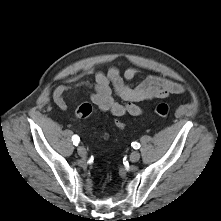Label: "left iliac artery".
I'll return each instance as SVG.
<instances>
[{
    "mask_svg": "<svg viewBox=\"0 0 221 221\" xmlns=\"http://www.w3.org/2000/svg\"><path fill=\"white\" fill-rule=\"evenodd\" d=\"M131 145L133 146L134 149H139L140 148V144L137 143V142H133Z\"/></svg>",
    "mask_w": 221,
    "mask_h": 221,
    "instance_id": "44dca946",
    "label": "left iliac artery"
}]
</instances>
